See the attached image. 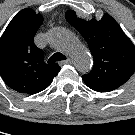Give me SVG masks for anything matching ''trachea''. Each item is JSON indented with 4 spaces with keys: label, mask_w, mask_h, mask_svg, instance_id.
I'll use <instances>...</instances> for the list:
<instances>
[{
    "label": "trachea",
    "mask_w": 135,
    "mask_h": 135,
    "mask_svg": "<svg viewBox=\"0 0 135 135\" xmlns=\"http://www.w3.org/2000/svg\"><path fill=\"white\" fill-rule=\"evenodd\" d=\"M66 59L67 58L63 54L55 53L48 59V62H56V61H62V60H66Z\"/></svg>",
    "instance_id": "trachea-1"
}]
</instances>
